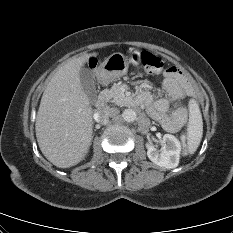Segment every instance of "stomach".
Wrapping results in <instances>:
<instances>
[{"label":"stomach","mask_w":233,"mask_h":233,"mask_svg":"<svg viewBox=\"0 0 233 233\" xmlns=\"http://www.w3.org/2000/svg\"><path fill=\"white\" fill-rule=\"evenodd\" d=\"M140 58L141 52L137 50L131 52L129 56L122 53H113L100 65L98 78L102 82L113 81L125 75L131 63L138 65Z\"/></svg>","instance_id":"obj_1"}]
</instances>
